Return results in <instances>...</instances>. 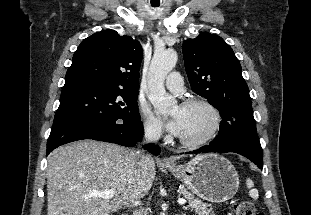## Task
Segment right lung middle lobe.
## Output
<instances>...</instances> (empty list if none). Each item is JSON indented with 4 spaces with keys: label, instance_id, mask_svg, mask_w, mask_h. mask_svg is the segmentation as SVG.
Segmentation results:
<instances>
[{
    "label": "right lung middle lobe",
    "instance_id": "dd1d6c3e",
    "mask_svg": "<svg viewBox=\"0 0 311 215\" xmlns=\"http://www.w3.org/2000/svg\"><path fill=\"white\" fill-rule=\"evenodd\" d=\"M138 91L97 84L64 86L54 124L94 121L130 124L140 119Z\"/></svg>",
    "mask_w": 311,
    "mask_h": 215
}]
</instances>
